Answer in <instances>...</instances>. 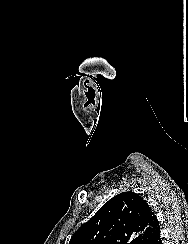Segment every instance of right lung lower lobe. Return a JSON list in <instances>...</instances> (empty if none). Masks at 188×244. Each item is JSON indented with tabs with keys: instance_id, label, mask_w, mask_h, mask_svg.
Returning a JSON list of instances; mask_svg holds the SVG:
<instances>
[{
	"instance_id": "98d812e1",
	"label": "right lung lower lobe",
	"mask_w": 188,
	"mask_h": 244,
	"mask_svg": "<svg viewBox=\"0 0 188 244\" xmlns=\"http://www.w3.org/2000/svg\"><path fill=\"white\" fill-rule=\"evenodd\" d=\"M146 244H162L159 227L153 232V234L151 235L150 239Z\"/></svg>"
}]
</instances>
